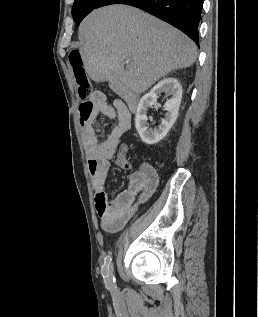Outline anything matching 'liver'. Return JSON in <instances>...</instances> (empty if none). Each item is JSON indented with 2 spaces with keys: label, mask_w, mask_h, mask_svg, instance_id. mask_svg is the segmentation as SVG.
<instances>
[{
  "label": "liver",
  "mask_w": 258,
  "mask_h": 317,
  "mask_svg": "<svg viewBox=\"0 0 258 317\" xmlns=\"http://www.w3.org/2000/svg\"><path fill=\"white\" fill-rule=\"evenodd\" d=\"M78 34L84 68L92 80H109L111 90L141 94L175 68L191 66L197 46L171 24L128 4L95 8ZM125 60H130L124 70Z\"/></svg>",
  "instance_id": "obj_1"
}]
</instances>
